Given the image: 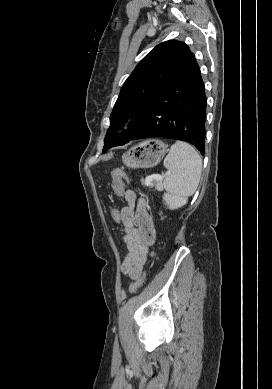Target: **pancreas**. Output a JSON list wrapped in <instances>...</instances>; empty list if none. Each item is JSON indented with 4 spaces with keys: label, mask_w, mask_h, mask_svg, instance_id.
I'll list each match as a JSON object with an SVG mask.
<instances>
[{
    "label": "pancreas",
    "mask_w": 272,
    "mask_h": 389,
    "mask_svg": "<svg viewBox=\"0 0 272 389\" xmlns=\"http://www.w3.org/2000/svg\"><path fill=\"white\" fill-rule=\"evenodd\" d=\"M144 184L146 185V183L144 182ZM149 186H153V184L151 183Z\"/></svg>",
    "instance_id": "obj_1"
}]
</instances>
